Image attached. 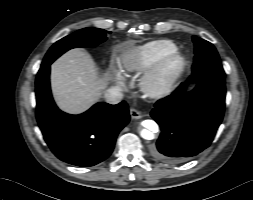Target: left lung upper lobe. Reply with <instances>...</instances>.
I'll list each match as a JSON object with an SVG mask.
<instances>
[{"mask_svg":"<svg viewBox=\"0 0 253 200\" xmlns=\"http://www.w3.org/2000/svg\"><path fill=\"white\" fill-rule=\"evenodd\" d=\"M193 42L195 57L189 81L204 76L225 78V72L215 47L210 42L195 36H193Z\"/></svg>","mask_w":253,"mask_h":200,"instance_id":"5c2ea615","label":"left lung upper lobe"}]
</instances>
